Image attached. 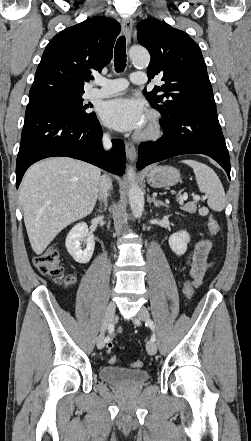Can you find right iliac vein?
Here are the masks:
<instances>
[{
  "instance_id": "right-iliac-vein-1",
  "label": "right iliac vein",
  "mask_w": 251,
  "mask_h": 441,
  "mask_svg": "<svg viewBox=\"0 0 251 441\" xmlns=\"http://www.w3.org/2000/svg\"><path fill=\"white\" fill-rule=\"evenodd\" d=\"M115 303L110 302L107 305V308L105 310L103 324L101 328V333L97 338V347L98 349H102L105 346V331L108 328V326L113 322L114 315H115Z\"/></svg>"
}]
</instances>
